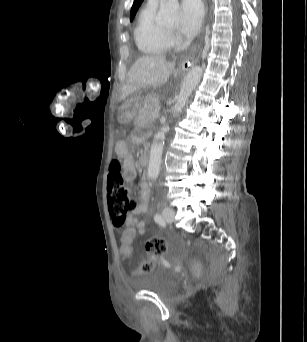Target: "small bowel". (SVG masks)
Listing matches in <instances>:
<instances>
[{
	"instance_id": "small-bowel-1",
	"label": "small bowel",
	"mask_w": 307,
	"mask_h": 342,
	"mask_svg": "<svg viewBox=\"0 0 307 342\" xmlns=\"http://www.w3.org/2000/svg\"><path fill=\"white\" fill-rule=\"evenodd\" d=\"M124 176L128 182H133L136 178V169L134 162L127 154L125 155L124 161ZM140 196L141 202L137 204L135 209L129 214L127 225H135V232H147L144 223L138 220V216L148 210L150 191L145 181H143L141 185Z\"/></svg>"
}]
</instances>
